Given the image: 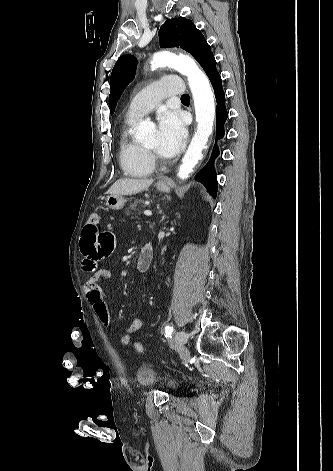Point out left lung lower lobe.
<instances>
[{
  "mask_svg": "<svg viewBox=\"0 0 333 471\" xmlns=\"http://www.w3.org/2000/svg\"><path fill=\"white\" fill-rule=\"evenodd\" d=\"M201 66L207 74L215 92V98L217 101L216 138L219 139L224 135V123L228 117V112L225 107V94L222 87V80L216 69V60L213 54H211ZM212 155L213 157L218 155L217 146L214 147ZM195 178L209 187V192L211 195L216 196L217 179L212 161H210L199 173H197Z\"/></svg>",
  "mask_w": 333,
  "mask_h": 471,
  "instance_id": "obj_1",
  "label": "left lung lower lobe"
}]
</instances>
